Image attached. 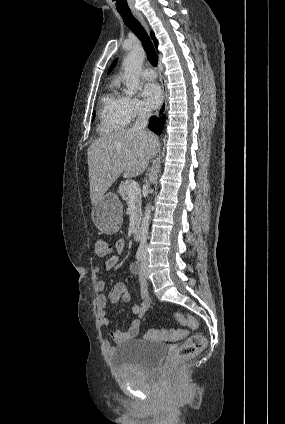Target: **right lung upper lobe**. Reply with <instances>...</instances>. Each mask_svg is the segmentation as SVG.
<instances>
[{
    "mask_svg": "<svg viewBox=\"0 0 285 424\" xmlns=\"http://www.w3.org/2000/svg\"><path fill=\"white\" fill-rule=\"evenodd\" d=\"M151 36H152V39H153V41H154V43H155V46L157 47V45H158V41H157V39L155 38V36H154V33H153V32H151Z\"/></svg>",
    "mask_w": 285,
    "mask_h": 424,
    "instance_id": "cb5924a9",
    "label": "right lung upper lobe"
}]
</instances>
